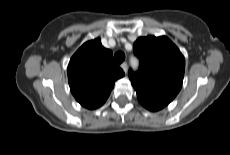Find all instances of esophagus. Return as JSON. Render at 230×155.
<instances>
[{"mask_svg": "<svg viewBox=\"0 0 230 155\" xmlns=\"http://www.w3.org/2000/svg\"><path fill=\"white\" fill-rule=\"evenodd\" d=\"M121 68L123 69V71L126 73L127 72V63L124 62L121 64Z\"/></svg>", "mask_w": 230, "mask_h": 155, "instance_id": "34e87169", "label": "esophagus"}]
</instances>
